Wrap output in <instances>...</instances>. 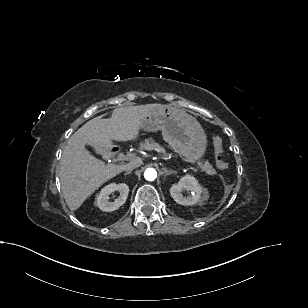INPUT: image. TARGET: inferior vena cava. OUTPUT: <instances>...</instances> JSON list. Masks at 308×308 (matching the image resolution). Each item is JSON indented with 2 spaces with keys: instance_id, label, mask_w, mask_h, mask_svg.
Masks as SVG:
<instances>
[{
  "instance_id": "1",
  "label": "inferior vena cava",
  "mask_w": 308,
  "mask_h": 308,
  "mask_svg": "<svg viewBox=\"0 0 308 308\" xmlns=\"http://www.w3.org/2000/svg\"><path fill=\"white\" fill-rule=\"evenodd\" d=\"M139 165H140V164H138V163H129V164H127V166H126V168H125L126 173H127V172H130V173H131V171H132L134 168L138 167Z\"/></svg>"
}]
</instances>
